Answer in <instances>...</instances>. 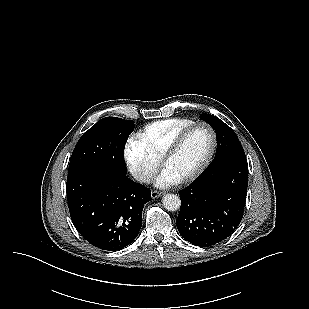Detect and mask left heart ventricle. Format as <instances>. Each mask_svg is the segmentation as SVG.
I'll return each instance as SVG.
<instances>
[{
    "instance_id": "obj_1",
    "label": "left heart ventricle",
    "mask_w": 309,
    "mask_h": 309,
    "mask_svg": "<svg viewBox=\"0 0 309 309\" xmlns=\"http://www.w3.org/2000/svg\"><path fill=\"white\" fill-rule=\"evenodd\" d=\"M211 146V136L205 127H196L187 136L177 153L166 163L178 179L196 169L206 157Z\"/></svg>"
}]
</instances>
